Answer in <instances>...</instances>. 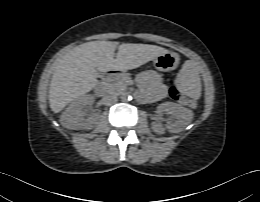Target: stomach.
<instances>
[{"label": "stomach", "instance_id": "0dacf381", "mask_svg": "<svg viewBox=\"0 0 260 202\" xmlns=\"http://www.w3.org/2000/svg\"><path fill=\"white\" fill-rule=\"evenodd\" d=\"M179 60L180 58L177 53L166 52L153 59V64L160 71H171L178 66Z\"/></svg>", "mask_w": 260, "mask_h": 202}]
</instances>
